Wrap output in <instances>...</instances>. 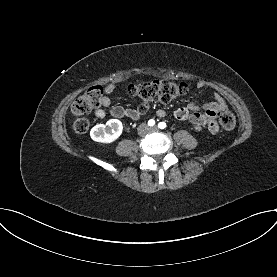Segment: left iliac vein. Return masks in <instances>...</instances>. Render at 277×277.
Wrapping results in <instances>:
<instances>
[{
  "label": "left iliac vein",
  "mask_w": 277,
  "mask_h": 277,
  "mask_svg": "<svg viewBox=\"0 0 277 277\" xmlns=\"http://www.w3.org/2000/svg\"><path fill=\"white\" fill-rule=\"evenodd\" d=\"M151 130L152 131H156V130H158V128L157 127H153V128H151Z\"/></svg>",
  "instance_id": "obj_1"
}]
</instances>
